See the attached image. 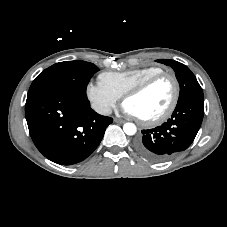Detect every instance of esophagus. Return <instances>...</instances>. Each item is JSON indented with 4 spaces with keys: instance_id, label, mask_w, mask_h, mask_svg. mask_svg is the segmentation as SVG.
Masks as SVG:
<instances>
[{
    "instance_id": "obj_1",
    "label": "esophagus",
    "mask_w": 227,
    "mask_h": 227,
    "mask_svg": "<svg viewBox=\"0 0 227 227\" xmlns=\"http://www.w3.org/2000/svg\"><path fill=\"white\" fill-rule=\"evenodd\" d=\"M114 122L117 124H123L125 121L122 119L114 118Z\"/></svg>"
}]
</instances>
